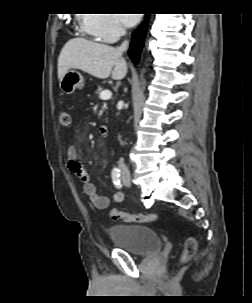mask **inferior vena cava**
Wrapping results in <instances>:
<instances>
[{
	"label": "inferior vena cava",
	"mask_w": 252,
	"mask_h": 303,
	"mask_svg": "<svg viewBox=\"0 0 252 303\" xmlns=\"http://www.w3.org/2000/svg\"><path fill=\"white\" fill-rule=\"evenodd\" d=\"M121 31H122V34L126 33V31L124 29H122ZM128 45H129V42L124 41L121 44V46L117 48V50L119 52L123 53L124 51H126L128 49ZM118 166H119L121 174H129V170H128L127 166L125 165L124 160L122 158L119 160Z\"/></svg>",
	"instance_id": "inferior-vena-cava-1"
}]
</instances>
